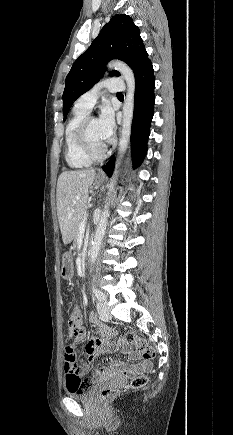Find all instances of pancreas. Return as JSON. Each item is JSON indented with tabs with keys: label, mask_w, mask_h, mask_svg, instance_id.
<instances>
[{
	"label": "pancreas",
	"mask_w": 233,
	"mask_h": 435,
	"mask_svg": "<svg viewBox=\"0 0 233 435\" xmlns=\"http://www.w3.org/2000/svg\"><path fill=\"white\" fill-rule=\"evenodd\" d=\"M85 219H86V216L84 215V216L81 218L79 224H80L82 221H85ZM79 224H78V227H79ZM76 233H78V229H77V232H76Z\"/></svg>",
	"instance_id": "pancreas-1"
}]
</instances>
